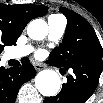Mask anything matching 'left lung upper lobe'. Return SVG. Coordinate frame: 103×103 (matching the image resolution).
<instances>
[{"instance_id": "1", "label": "left lung upper lobe", "mask_w": 103, "mask_h": 103, "mask_svg": "<svg viewBox=\"0 0 103 103\" xmlns=\"http://www.w3.org/2000/svg\"><path fill=\"white\" fill-rule=\"evenodd\" d=\"M59 10L65 14L68 23L62 43L50 53L49 63L61 69H69L92 53L103 54L97 35L87 21L67 8L61 7Z\"/></svg>"}]
</instances>
